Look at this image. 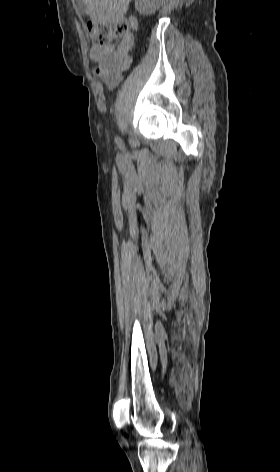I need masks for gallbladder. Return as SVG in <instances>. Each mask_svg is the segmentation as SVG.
Returning a JSON list of instances; mask_svg holds the SVG:
<instances>
[{
	"label": "gallbladder",
	"mask_w": 280,
	"mask_h": 472,
	"mask_svg": "<svg viewBox=\"0 0 280 472\" xmlns=\"http://www.w3.org/2000/svg\"><path fill=\"white\" fill-rule=\"evenodd\" d=\"M78 4H79V7H80V10H81L83 13H85V6H84L82 0H78Z\"/></svg>",
	"instance_id": "1"
}]
</instances>
